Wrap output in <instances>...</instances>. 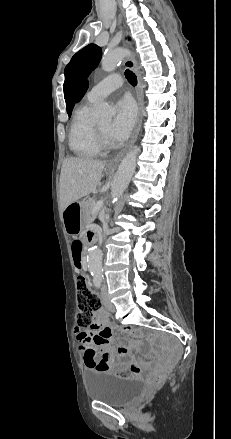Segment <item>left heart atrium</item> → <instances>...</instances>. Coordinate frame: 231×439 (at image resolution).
Listing matches in <instances>:
<instances>
[{
	"label": "left heart atrium",
	"instance_id": "obj_1",
	"mask_svg": "<svg viewBox=\"0 0 231 439\" xmlns=\"http://www.w3.org/2000/svg\"><path fill=\"white\" fill-rule=\"evenodd\" d=\"M135 107L129 98H122L116 104L115 117L109 129V138L113 143L126 140L134 126Z\"/></svg>",
	"mask_w": 231,
	"mask_h": 439
}]
</instances>
